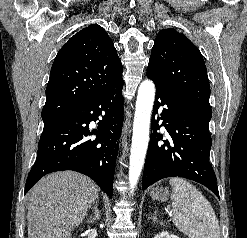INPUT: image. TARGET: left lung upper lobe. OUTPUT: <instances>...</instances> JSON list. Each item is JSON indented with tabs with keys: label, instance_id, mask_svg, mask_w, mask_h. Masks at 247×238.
<instances>
[{
	"label": "left lung upper lobe",
	"instance_id": "1",
	"mask_svg": "<svg viewBox=\"0 0 247 238\" xmlns=\"http://www.w3.org/2000/svg\"><path fill=\"white\" fill-rule=\"evenodd\" d=\"M147 76L171 97L211 119L210 86L203 57L183 34L163 29L157 35Z\"/></svg>",
	"mask_w": 247,
	"mask_h": 238
}]
</instances>
